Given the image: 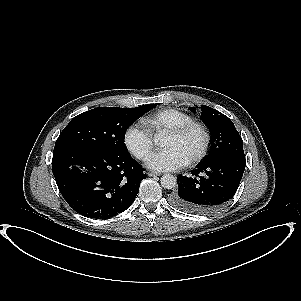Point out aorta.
Instances as JSON below:
<instances>
[{
	"mask_svg": "<svg viewBox=\"0 0 301 301\" xmlns=\"http://www.w3.org/2000/svg\"><path fill=\"white\" fill-rule=\"evenodd\" d=\"M161 186L165 189H173L177 185V179L172 174H164L161 179Z\"/></svg>",
	"mask_w": 301,
	"mask_h": 301,
	"instance_id": "obj_1",
	"label": "aorta"
}]
</instances>
